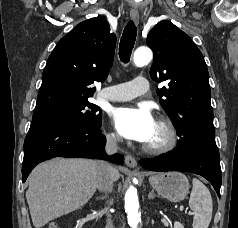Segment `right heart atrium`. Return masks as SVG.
Returning a JSON list of instances; mask_svg holds the SVG:
<instances>
[{"label":"right heart atrium","mask_w":238,"mask_h":228,"mask_svg":"<svg viewBox=\"0 0 238 228\" xmlns=\"http://www.w3.org/2000/svg\"><path fill=\"white\" fill-rule=\"evenodd\" d=\"M107 140H108V142L111 143V144H116V143L118 142V136H117V134L114 133V132H109V133L107 134Z\"/></svg>","instance_id":"d8ad5b80"}]
</instances>
